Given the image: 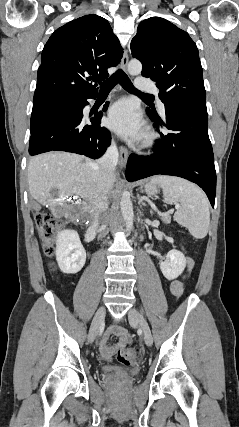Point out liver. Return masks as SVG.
<instances>
[{
  "label": "liver",
  "instance_id": "1",
  "mask_svg": "<svg viewBox=\"0 0 239 427\" xmlns=\"http://www.w3.org/2000/svg\"><path fill=\"white\" fill-rule=\"evenodd\" d=\"M115 181L113 172L106 182L107 194L112 192ZM103 184L98 163L81 155L49 152L34 156L28 165L31 197L48 206L55 215H63L67 210L66 198L77 196L85 200L83 211L94 221Z\"/></svg>",
  "mask_w": 239,
  "mask_h": 427
}]
</instances>
